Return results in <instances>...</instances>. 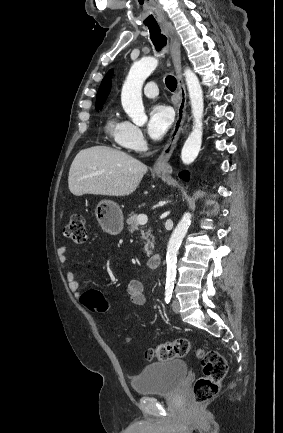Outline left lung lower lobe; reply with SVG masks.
Wrapping results in <instances>:
<instances>
[{
  "mask_svg": "<svg viewBox=\"0 0 283 433\" xmlns=\"http://www.w3.org/2000/svg\"><path fill=\"white\" fill-rule=\"evenodd\" d=\"M179 177L181 178V179H183V180H185V181H188L189 180V173L188 172H181L180 174H179Z\"/></svg>",
  "mask_w": 283,
  "mask_h": 433,
  "instance_id": "left-lung-lower-lobe-1",
  "label": "left lung lower lobe"
}]
</instances>
